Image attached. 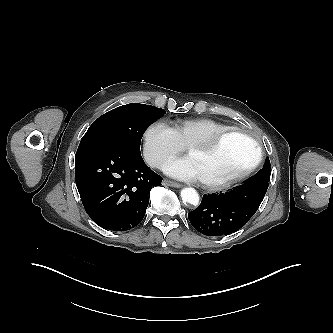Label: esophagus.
<instances>
[{
  "label": "esophagus",
  "instance_id": "esophagus-1",
  "mask_svg": "<svg viewBox=\"0 0 333 333\" xmlns=\"http://www.w3.org/2000/svg\"><path fill=\"white\" fill-rule=\"evenodd\" d=\"M163 184H164V185H167V186L175 187V188H180V187H182L181 184H179V183H177V182H174V181L167 180V179H164V180H163Z\"/></svg>",
  "mask_w": 333,
  "mask_h": 333
}]
</instances>
